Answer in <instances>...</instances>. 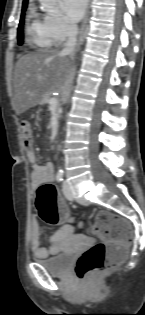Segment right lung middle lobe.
<instances>
[{
  "mask_svg": "<svg viewBox=\"0 0 145 315\" xmlns=\"http://www.w3.org/2000/svg\"><path fill=\"white\" fill-rule=\"evenodd\" d=\"M26 10V6L22 7L21 19L18 27V43L22 45L23 43V24H24V12Z\"/></svg>",
  "mask_w": 145,
  "mask_h": 315,
  "instance_id": "1",
  "label": "right lung middle lobe"
}]
</instances>
